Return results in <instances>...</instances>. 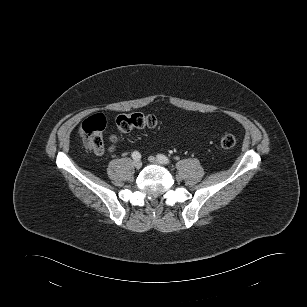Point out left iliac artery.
I'll return each instance as SVG.
<instances>
[{"label":"left iliac artery","mask_w":307,"mask_h":307,"mask_svg":"<svg viewBox=\"0 0 307 307\" xmlns=\"http://www.w3.org/2000/svg\"><path fill=\"white\" fill-rule=\"evenodd\" d=\"M157 158L163 164H169L170 163V159L163 154H158Z\"/></svg>","instance_id":"1"}]
</instances>
